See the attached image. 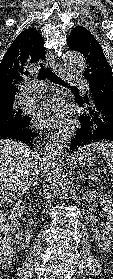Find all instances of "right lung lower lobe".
<instances>
[{"instance_id":"right-lung-lower-lobe-1","label":"right lung lower lobe","mask_w":113,"mask_h":279,"mask_svg":"<svg viewBox=\"0 0 113 279\" xmlns=\"http://www.w3.org/2000/svg\"><path fill=\"white\" fill-rule=\"evenodd\" d=\"M29 121L30 117L26 116L19 124L0 127V139H16L32 147L38 132L29 127Z\"/></svg>"}]
</instances>
